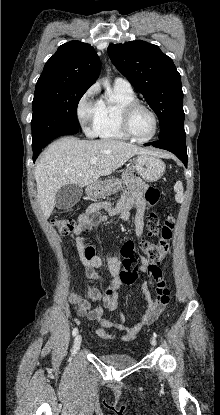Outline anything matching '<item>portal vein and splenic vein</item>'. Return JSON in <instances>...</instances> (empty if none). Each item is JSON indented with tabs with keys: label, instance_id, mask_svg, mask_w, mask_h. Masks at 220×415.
I'll list each match as a JSON object with an SVG mask.
<instances>
[{
	"label": "portal vein and splenic vein",
	"instance_id": "18ae733b",
	"mask_svg": "<svg viewBox=\"0 0 220 415\" xmlns=\"http://www.w3.org/2000/svg\"><path fill=\"white\" fill-rule=\"evenodd\" d=\"M97 161H98V159H97V158H91V159H90V163H91V164H96V163H97Z\"/></svg>",
	"mask_w": 220,
	"mask_h": 415
}]
</instances>
